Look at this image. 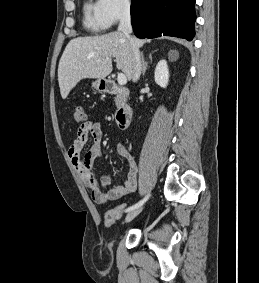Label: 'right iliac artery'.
<instances>
[{"mask_svg":"<svg viewBox=\"0 0 259 283\" xmlns=\"http://www.w3.org/2000/svg\"><path fill=\"white\" fill-rule=\"evenodd\" d=\"M149 196H150V194L148 193V194H147L142 200H140L138 203H136V204L130 206L129 208H127L126 212H129V211H131V210H133V209H136V208L142 206V205L148 200Z\"/></svg>","mask_w":259,"mask_h":283,"instance_id":"82829eb1","label":"right iliac artery"}]
</instances>
